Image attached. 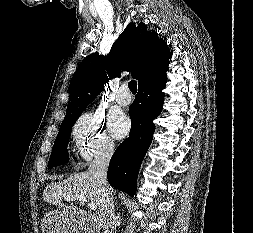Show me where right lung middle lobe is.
<instances>
[{
    "label": "right lung middle lobe",
    "instance_id": "1",
    "mask_svg": "<svg viewBox=\"0 0 253 233\" xmlns=\"http://www.w3.org/2000/svg\"><path fill=\"white\" fill-rule=\"evenodd\" d=\"M80 115L81 112L63 120L52 149L49 160V169L65 164L69 161L67 145L71 135L72 127Z\"/></svg>",
    "mask_w": 253,
    "mask_h": 233
}]
</instances>
